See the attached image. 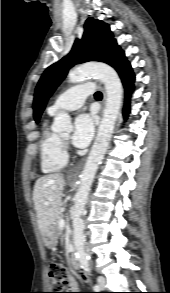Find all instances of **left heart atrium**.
Segmentation results:
<instances>
[{"label": "left heart atrium", "instance_id": "39dd6f15", "mask_svg": "<svg viewBox=\"0 0 170 293\" xmlns=\"http://www.w3.org/2000/svg\"><path fill=\"white\" fill-rule=\"evenodd\" d=\"M94 120L89 114H81L74 121L71 142L75 147L84 148L94 135Z\"/></svg>", "mask_w": 170, "mask_h": 293}]
</instances>
